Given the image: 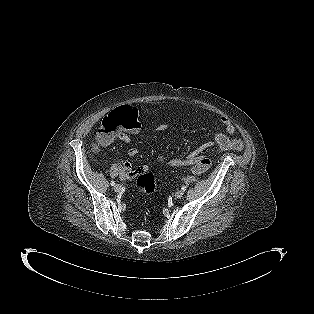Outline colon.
Returning <instances> with one entry per match:
<instances>
[{"mask_svg": "<svg viewBox=\"0 0 314 314\" xmlns=\"http://www.w3.org/2000/svg\"><path fill=\"white\" fill-rule=\"evenodd\" d=\"M140 127L136 110L131 106H122L103 119L98 129L96 142L103 143L111 139L114 134L121 131H131ZM212 165L209 157H201L193 166L192 172L201 174L208 170ZM136 181L137 188L144 193H152L156 189L154 175L143 166L138 168Z\"/></svg>", "mask_w": 314, "mask_h": 314, "instance_id": "obj_1", "label": "colon"}]
</instances>
